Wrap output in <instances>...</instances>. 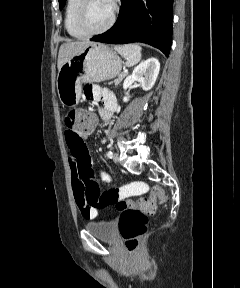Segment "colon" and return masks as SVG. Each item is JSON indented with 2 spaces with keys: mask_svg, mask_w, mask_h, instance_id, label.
I'll list each match as a JSON object with an SVG mask.
<instances>
[{
  "mask_svg": "<svg viewBox=\"0 0 240 288\" xmlns=\"http://www.w3.org/2000/svg\"><path fill=\"white\" fill-rule=\"evenodd\" d=\"M67 132L80 137L89 133L95 126V115L84 109H73L69 111L64 119ZM148 189L145 184H135L133 192ZM167 196L162 188L153 186L150 188V197L141 198L137 201L123 199L118 189H111L101 193L90 190L87 192L86 200L88 205L96 208H104L115 205L120 212L119 230L124 240L126 249L129 252L137 250L142 235L147 230L148 217L156 210V202L163 203Z\"/></svg>",
  "mask_w": 240,
  "mask_h": 288,
  "instance_id": "1",
  "label": "colon"
}]
</instances>
